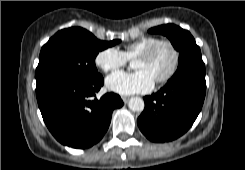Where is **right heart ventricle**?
I'll use <instances>...</instances> for the list:
<instances>
[{
  "label": "right heart ventricle",
  "mask_w": 245,
  "mask_h": 170,
  "mask_svg": "<svg viewBox=\"0 0 245 170\" xmlns=\"http://www.w3.org/2000/svg\"><path fill=\"white\" fill-rule=\"evenodd\" d=\"M157 40V37L152 36L139 38L127 44L124 47L123 53L128 59H134L140 52L148 48L152 43H154Z\"/></svg>",
  "instance_id": "e07e8e85"
}]
</instances>
